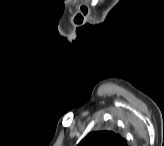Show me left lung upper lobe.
Returning a JSON list of instances; mask_svg holds the SVG:
<instances>
[{"mask_svg": "<svg viewBox=\"0 0 164 146\" xmlns=\"http://www.w3.org/2000/svg\"><path fill=\"white\" fill-rule=\"evenodd\" d=\"M78 146H127L126 140L113 131L90 132Z\"/></svg>", "mask_w": 164, "mask_h": 146, "instance_id": "left-lung-upper-lobe-1", "label": "left lung upper lobe"}]
</instances>
